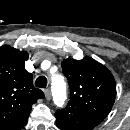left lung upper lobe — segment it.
<instances>
[{"label":"left lung upper lobe","mask_w":130,"mask_h":130,"mask_svg":"<svg viewBox=\"0 0 130 130\" xmlns=\"http://www.w3.org/2000/svg\"><path fill=\"white\" fill-rule=\"evenodd\" d=\"M62 71L70 86V100L66 107L103 120L116 97V84L111 72L90 57L64 59Z\"/></svg>","instance_id":"1"}]
</instances>
